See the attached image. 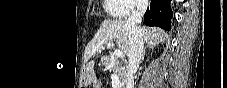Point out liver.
Masks as SVG:
<instances>
[{"mask_svg": "<svg viewBox=\"0 0 227 88\" xmlns=\"http://www.w3.org/2000/svg\"><path fill=\"white\" fill-rule=\"evenodd\" d=\"M141 29V28H140ZM142 37L149 47L163 42L165 40L164 32L159 28L141 29ZM126 21L123 20H105L100 25L96 35L87 45L85 50V60H89L96 53H100L108 42H116V45L123 54L128 55L129 40Z\"/></svg>", "mask_w": 227, "mask_h": 88, "instance_id": "liver-1", "label": "liver"}]
</instances>
